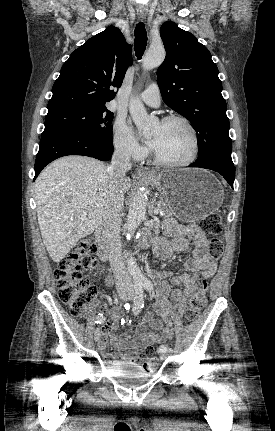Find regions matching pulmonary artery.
<instances>
[{"label": "pulmonary artery", "mask_w": 275, "mask_h": 431, "mask_svg": "<svg viewBox=\"0 0 275 431\" xmlns=\"http://www.w3.org/2000/svg\"><path fill=\"white\" fill-rule=\"evenodd\" d=\"M141 100L152 107H157L161 103L160 91L157 84H151L144 92L140 94Z\"/></svg>", "instance_id": "1"}]
</instances>
